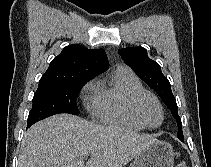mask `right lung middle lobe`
<instances>
[{
	"mask_svg": "<svg viewBox=\"0 0 211 167\" xmlns=\"http://www.w3.org/2000/svg\"><path fill=\"white\" fill-rule=\"evenodd\" d=\"M89 81L77 80L67 84L39 85L33 97L28 116V126L59 113L78 115L76 98L83 85Z\"/></svg>",
	"mask_w": 211,
	"mask_h": 167,
	"instance_id": "1",
	"label": "right lung middle lobe"
}]
</instances>
